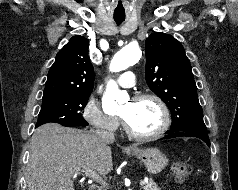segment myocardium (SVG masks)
I'll use <instances>...</instances> for the list:
<instances>
[{
    "mask_svg": "<svg viewBox=\"0 0 238 190\" xmlns=\"http://www.w3.org/2000/svg\"><path fill=\"white\" fill-rule=\"evenodd\" d=\"M133 101H140V100H152L154 101L162 114V123L161 126L154 132L152 133H148V134H142V133H138L136 131H134L130 125L127 123V121L121 116V121H122V125L123 128L125 130V132L132 138L136 139V140H154L157 139L159 137H161L170 127V123H171V116H170V112L169 109L166 105V103L156 94L154 93H149V92H140L135 94L132 97Z\"/></svg>",
    "mask_w": 238,
    "mask_h": 190,
    "instance_id": "myocardium-1",
    "label": "myocardium"
}]
</instances>
